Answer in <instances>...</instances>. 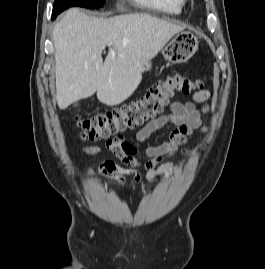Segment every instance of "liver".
<instances>
[{"label": "liver", "mask_w": 265, "mask_h": 269, "mask_svg": "<svg viewBox=\"0 0 265 269\" xmlns=\"http://www.w3.org/2000/svg\"><path fill=\"white\" fill-rule=\"evenodd\" d=\"M184 26L149 14L110 18L69 9L53 30L56 98L60 109L95 92L100 102L114 106L129 98L149 63ZM106 46L114 50L103 62Z\"/></svg>", "instance_id": "liver-1"}]
</instances>
